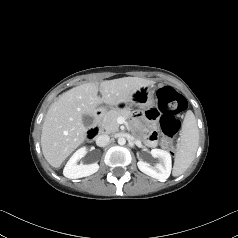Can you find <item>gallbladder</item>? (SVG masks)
Returning a JSON list of instances; mask_svg holds the SVG:
<instances>
[{"mask_svg": "<svg viewBox=\"0 0 238 238\" xmlns=\"http://www.w3.org/2000/svg\"><path fill=\"white\" fill-rule=\"evenodd\" d=\"M82 121L85 127H89L93 123V117L90 115H83Z\"/></svg>", "mask_w": 238, "mask_h": 238, "instance_id": "obj_1", "label": "gallbladder"}]
</instances>
